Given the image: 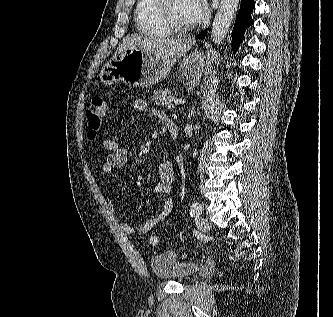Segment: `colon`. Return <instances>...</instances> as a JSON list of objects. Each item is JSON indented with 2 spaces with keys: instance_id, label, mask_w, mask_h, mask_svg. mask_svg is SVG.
<instances>
[{
  "instance_id": "colon-1",
  "label": "colon",
  "mask_w": 333,
  "mask_h": 317,
  "mask_svg": "<svg viewBox=\"0 0 333 317\" xmlns=\"http://www.w3.org/2000/svg\"><path fill=\"white\" fill-rule=\"evenodd\" d=\"M107 103L102 97H94L87 110L88 137L94 140L102 126L103 120L107 114ZM159 243V237L156 234L151 235L150 244L156 246Z\"/></svg>"
}]
</instances>
